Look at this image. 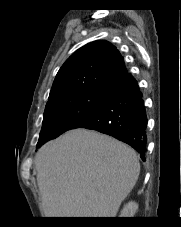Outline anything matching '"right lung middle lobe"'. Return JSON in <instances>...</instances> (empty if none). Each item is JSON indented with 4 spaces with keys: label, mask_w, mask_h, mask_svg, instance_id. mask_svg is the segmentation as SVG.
<instances>
[{
    "label": "right lung middle lobe",
    "mask_w": 181,
    "mask_h": 227,
    "mask_svg": "<svg viewBox=\"0 0 181 227\" xmlns=\"http://www.w3.org/2000/svg\"><path fill=\"white\" fill-rule=\"evenodd\" d=\"M111 89H98L59 98L46 105L37 147L73 129L94 114L105 102Z\"/></svg>",
    "instance_id": "right-lung-middle-lobe-1"
}]
</instances>
